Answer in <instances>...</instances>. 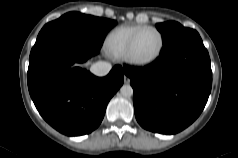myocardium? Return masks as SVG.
Returning <instances> with one entry per match:
<instances>
[{
    "mask_svg": "<svg viewBox=\"0 0 238 158\" xmlns=\"http://www.w3.org/2000/svg\"><path fill=\"white\" fill-rule=\"evenodd\" d=\"M146 30H153L158 34L159 47H158V50L156 51V53L152 57L147 58V59H139L134 55V49H135V45H136V42H137L139 36ZM163 48H164V38H163L162 32L154 26H144L140 30H138L131 38L124 58L128 63H130L132 65L146 66V65L153 63L154 61H156L159 58V56L161 55V53L163 51Z\"/></svg>",
    "mask_w": 238,
    "mask_h": 158,
    "instance_id": "obj_1",
    "label": "myocardium"
}]
</instances>
